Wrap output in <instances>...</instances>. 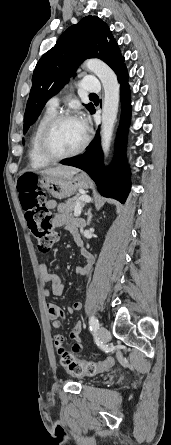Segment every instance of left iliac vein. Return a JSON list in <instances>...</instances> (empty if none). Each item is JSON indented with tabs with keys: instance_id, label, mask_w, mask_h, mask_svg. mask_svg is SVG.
I'll list each match as a JSON object with an SVG mask.
<instances>
[{
	"instance_id": "1",
	"label": "left iliac vein",
	"mask_w": 171,
	"mask_h": 445,
	"mask_svg": "<svg viewBox=\"0 0 171 445\" xmlns=\"http://www.w3.org/2000/svg\"><path fill=\"white\" fill-rule=\"evenodd\" d=\"M98 336L99 339L103 342V343H107L109 340V331L107 330L106 327L104 326H100L98 328Z\"/></svg>"
}]
</instances>
